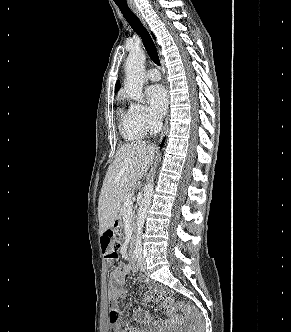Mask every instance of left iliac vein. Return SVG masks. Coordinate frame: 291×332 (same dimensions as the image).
I'll use <instances>...</instances> for the list:
<instances>
[{
    "label": "left iliac vein",
    "mask_w": 291,
    "mask_h": 332,
    "mask_svg": "<svg viewBox=\"0 0 291 332\" xmlns=\"http://www.w3.org/2000/svg\"><path fill=\"white\" fill-rule=\"evenodd\" d=\"M138 267L141 271H145L146 270V262L145 259L140 257L138 260Z\"/></svg>",
    "instance_id": "obj_1"
}]
</instances>
